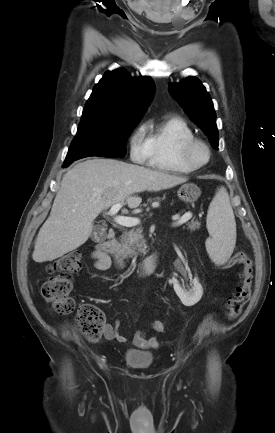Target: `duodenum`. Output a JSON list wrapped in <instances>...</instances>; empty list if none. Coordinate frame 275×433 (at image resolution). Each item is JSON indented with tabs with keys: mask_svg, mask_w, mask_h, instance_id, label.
Instances as JSON below:
<instances>
[{
	"mask_svg": "<svg viewBox=\"0 0 275 433\" xmlns=\"http://www.w3.org/2000/svg\"><path fill=\"white\" fill-rule=\"evenodd\" d=\"M106 235V240H99L97 242V251L103 256L109 258L110 261H113L117 270L122 271L124 269V263L120 258L117 257L114 251V238L116 236V232L114 229H109ZM159 264V254L152 255L138 264L137 272L140 275L151 274L159 268Z\"/></svg>",
	"mask_w": 275,
	"mask_h": 433,
	"instance_id": "duodenum-1",
	"label": "duodenum"
}]
</instances>
